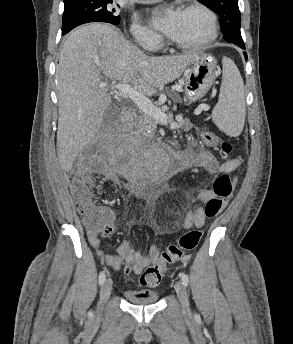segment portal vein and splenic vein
I'll return each instance as SVG.
<instances>
[{
    "label": "portal vein and splenic vein",
    "mask_w": 293,
    "mask_h": 344,
    "mask_svg": "<svg viewBox=\"0 0 293 344\" xmlns=\"http://www.w3.org/2000/svg\"><path fill=\"white\" fill-rule=\"evenodd\" d=\"M105 86L106 84L101 85V87ZM112 88L129 97L145 114H148L162 124H167V115L160 108L156 107L145 95L137 92L131 85L118 83L112 85Z\"/></svg>",
    "instance_id": "18ae733b"
}]
</instances>
